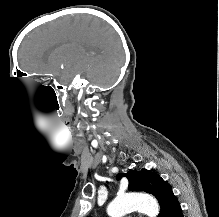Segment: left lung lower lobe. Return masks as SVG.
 I'll list each match as a JSON object with an SVG mask.
<instances>
[{
  "mask_svg": "<svg viewBox=\"0 0 219 217\" xmlns=\"http://www.w3.org/2000/svg\"><path fill=\"white\" fill-rule=\"evenodd\" d=\"M167 217H183L179 202H175Z\"/></svg>",
  "mask_w": 219,
  "mask_h": 217,
  "instance_id": "obj_1",
  "label": "left lung lower lobe"
}]
</instances>
